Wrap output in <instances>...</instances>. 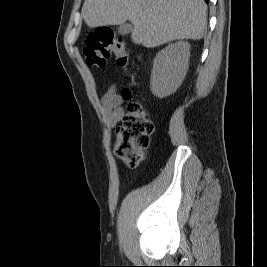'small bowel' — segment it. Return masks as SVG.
Returning <instances> with one entry per match:
<instances>
[{
    "label": "small bowel",
    "mask_w": 267,
    "mask_h": 267,
    "mask_svg": "<svg viewBox=\"0 0 267 267\" xmlns=\"http://www.w3.org/2000/svg\"><path fill=\"white\" fill-rule=\"evenodd\" d=\"M101 105L106 125L110 128L115 127L123 119L125 109L123 98L117 93L114 86H111L103 95Z\"/></svg>",
    "instance_id": "c3829d8e"
}]
</instances>
